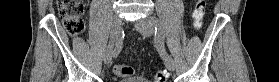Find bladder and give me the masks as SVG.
Wrapping results in <instances>:
<instances>
[{"instance_id": "obj_1", "label": "bladder", "mask_w": 279, "mask_h": 82, "mask_svg": "<svg viewBox=\"0 0 279 82\" xmlns=\"http://www.w3.org/2000/svg\"><path fill=\"white\" fill-rule=\"evenodd\" d=\"M120 82H150V81L144 78H133V79H124L121 80Z\"/></svg>"}]
</instances>
